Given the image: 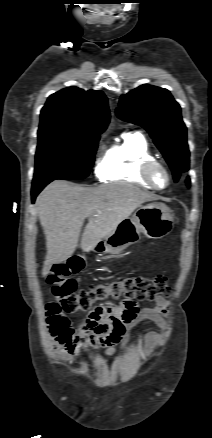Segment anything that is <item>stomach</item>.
<instances>
[{"mask_svg":"<svg viewBox=\"0 0 212 438\" xmlns=\"http://www.w3.org/2000/svg\"><path fill=\"white\" fill-rule=\"evenodd\" d=\"M174 216L168 206L152 202L140 206L132 218L123 220L102 243L105 253H120L137 242L143 233L150 239H161L174 228Z\"/></svg>","mask_w":212,"mask_h":438,"instance_id":"stomach-1","label":"stomach"}]
</instances>
